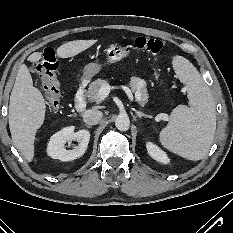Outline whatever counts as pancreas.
I'll return each instance as SVG.
<instances>
[{
  "label": "pancreas",
  "mask_w": 233,
  "mask_h": 233,
  "mask_svg": "<svg viewBox=\"0 0 233 233\" xmlns=\"http://www.w3.org/2000/svg\"><path fill=\"white\" fill-rule=\"evenodd\" d=\"M107 80L98 78L97 80L90 83L89 88L86 92V97L91 102H100L98 97L99 89L102 85L107 84ZM129 86L132 92L136 93V101L144 106L149 101V95L146 88V81L139 77H131L129 81Z\"/></svg>",
  "instance_id": "1"
}]
</instances>
